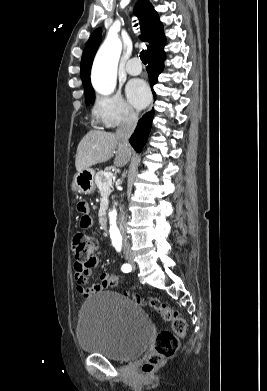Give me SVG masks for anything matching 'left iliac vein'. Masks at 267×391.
I'll return each instance as SVG.
<instances>
[{"label":"left iliac vein","mask_w":267,"mask_h":391,"mask_svg":"<svg viewBox=\"0 0 267 391\" xmlns=\"http://www.w3.org/2000/svg\"><path fill=\"white\" fill-rule=\"evenodd\" d=\"M131 265H132L133 269H135V264L133 261L131 262Z\"/></svg>","instance_id":"left-iliac-vein-1"}]
</instances>
